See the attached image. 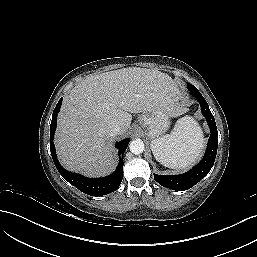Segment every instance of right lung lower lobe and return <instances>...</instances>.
<instances>
[{"instance_id": "1", "label": "right lung lower lobe", "mask_w": 257, "mask_h": 257, "mask_svg": "<svg viewBox=\"0 0 257 257\" xmlns=\"http://www.w3.org/2000/svg\"><path fill=\"white\" fill-rule=\"evenodd\" d=\"M61 103L62 98L59 100L53 111L52 121L50 125V150L52 159L57 170L66 181H68L77 189L90 196H102L117 190L123 178V159L119 161V164L115 172L103 178H87L79 174L70 173L67 170H65L58 162L55 146L53 143V138L57 124V114L61 108ZM129 142L130 139L128 138L116 143V147L119 149V156L124 153Z\"/></svg>"}]
</instances>
